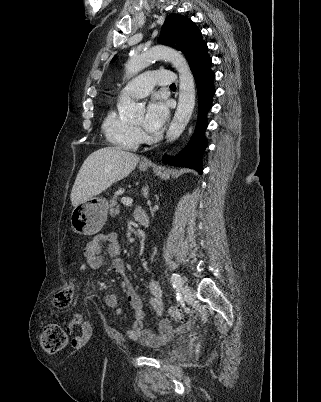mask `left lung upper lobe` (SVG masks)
<instances>
[{
	"label": "left lung upper lobe",
	"instance_id": "obj_1",
	"mask_svg": "<svg viewBox=\"0 0 321 402\" xmlns=\"http://www.w3.org/2000/svg\"><path fill=\"white\" fill-rule=\"evenodd\" d=\"M158 42L181 51L188 61L193 52L204 43L199 28L190 19L179 14H171L166 18Z\"/></svg>",
	"mask_w": 321,
	"mask_h": 402
}]
</instances>
